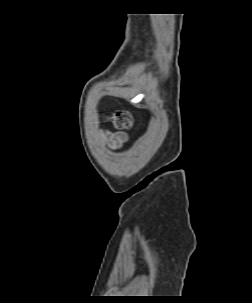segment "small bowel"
Masks as SVG:
<instances>
[{
  "label": "small bowel",
  "instance_id": "1",
  "mask_svg": "<svg viewBox=\"0 0 252 303\" xmlns=\"http://www.w3.org/2000/svg\"><path fill=\"white\" fill-rule=\"evenodd\" d=\"M101 136L106 146L118 151L121 150L126 143L128 133L124 131L112 132L110 130H101Z\"/></svg>",
  "mask_w": 252,
  "mask_h": 303
}]
</instances>
